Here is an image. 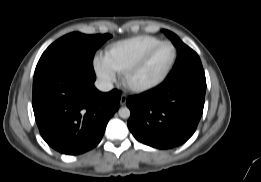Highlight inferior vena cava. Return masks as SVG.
Segmentation results:
<instances>
[{
  "instance_id": "inferior-vena-cava-1",
  "label": "inferior vena cava",
  "mask_w": 261,
  "mask_h": 182,
  "mask_svg": "<svg viewBox=\"0 0 261 182\" xmlns=\"http://www.w3.org/2000/svg\"><path fill=\"white\" fill-rule=\"evenodd\" d=\"M95 86L98 90H100L102 92H108V91H111L113 89L112 82H110L108 80L98 79L95 82Z\"/></svg>"
}]
</instances>
